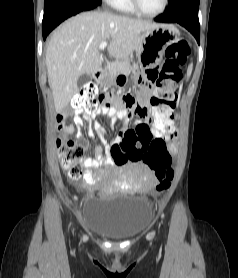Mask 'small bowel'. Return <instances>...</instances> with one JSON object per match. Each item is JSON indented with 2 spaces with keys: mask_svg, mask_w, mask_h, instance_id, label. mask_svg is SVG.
I'll return each instance as SVG.
<instances>
[{
  "mask_svg": "<svg viewBox=\"0 0 238 278\" xmlns=\"http://www.w3.org/2000/svg\"><path fill=\"white\" fill-rule=\"evenodd\" d=\"M146 76V81H150V85H158L157 76L161 75V67L159 64H152L151 67H146V71L144 72ZM152 93H147L144 91L139 98V104H137V100H122V105H125L122 108L116 107L112 100L108 97H101L102 105L94 112L88 113L83 110H75L73 116V122L78 129H81L84 125V119L92 120L93 129L95 130L100 142L101 146H97L95 148L94 156L89 157L86 156L82 160V164L87 168L97 167L99 165H107L111 164V159L104 155V149L110 152L112 145L120 144L123 142H131L132 144H141V137H151L152 136V128L148 126V117L140 116L137 113H152V106L147 105V98H152ZM102 115L109 118L112 123H116L119 120H124L125 122H129L134 114H137L142 120L138 122L135 129H124L120 132V134L115 139L114 143L110 144L107 142L105 135L106 131L104 127L96 120H94L95 115ZM67 114L61 112L57 115L56 121L59 125V128L65 135H70L74 132V128L70 125H65ZM90 136L93 134L90 133ZM175 132L171 135H159L154 134L150 140V144H166L168 149H173V154L178 149V144L174 140ZM77 138L80 139L81 144L86 148L87 143L83 139L82 133L79 131L77 133ZM172 155V154H169ZM147 166V165H146ZM148 167V166H147ZM150 170V168L148 167ZM156 177L152 170L145 177V185L148 188H152L156 184Z\"/></svg>",
  "mask_w": 238,
  "mask_h": 278,
  "instance_id": "small-bowel-1",
  "label": "small bowel"
}]
</instances>
